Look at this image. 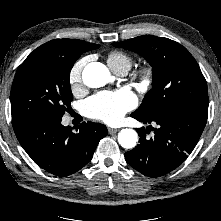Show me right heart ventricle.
<instances>
[{"mask_svg":"<svg viewBox=\"0 0 221 221\" xmlns=\"http://www.w3.org/2000/svg\"><path fill=\"white\" fill-rule=\"evenodd\" d=\"M107 62L113 71L121 68L129 70L132 65V59L129 55L121 51H112L108 54Z\"/></svg>","mask_w":221,"mask_h":221,"instance_id":"obj_1","label":"right heart ventricle"}]
</instances>
